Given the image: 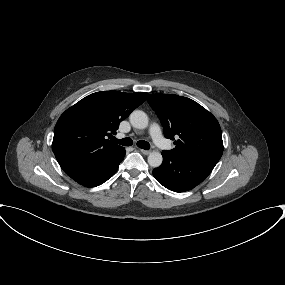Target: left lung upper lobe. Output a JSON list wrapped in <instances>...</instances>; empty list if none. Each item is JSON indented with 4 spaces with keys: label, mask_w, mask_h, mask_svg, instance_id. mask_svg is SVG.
<instances>
[{
    "label": "left lung upper lobe",
    "mask_w": 285,
    "mask_h": 285,
    "mask_svg": "<svg viewBox=\"0 0 285 285\" xmlns=\"http://www.w3.org/2000/svg\"><path fill=\"white\" fill-rule=\"evenodd\" d=\"M147 101L163 126L164 135L176 147L165 151L214 168L223 153L217 119L197 102L174 94H151Z\"/></svg>",
    "instance_id": "obj_1"
}]
</instances>
